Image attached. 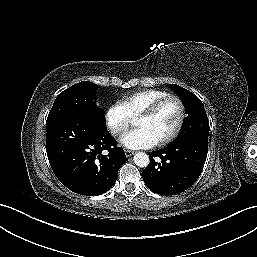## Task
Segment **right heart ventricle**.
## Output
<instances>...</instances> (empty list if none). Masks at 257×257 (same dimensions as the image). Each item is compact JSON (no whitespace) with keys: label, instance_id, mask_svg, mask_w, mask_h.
Listing matches in <instances>:
<instances>
[{"label":"right heart ventricle","instance_id":"obj_1","mask_svg":"<svg viewBox=\"0 0 257 257\" xmlns=\"http://www.w3.org/2000/svg\"><path fill=\"white\" fill-rule=\"evenodd\" d=\"M167 95H169V92L165 90L144 89L125 96L122 103L132 117H137L154 102Z\"/></svg>","mask_w":257,"mask_h":257}]
</instances>
